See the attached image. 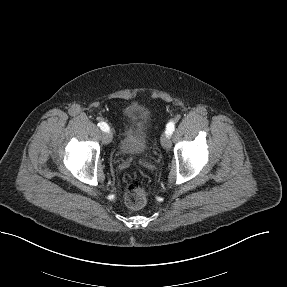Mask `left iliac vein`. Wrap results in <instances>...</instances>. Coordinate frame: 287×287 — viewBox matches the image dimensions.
I'll return each mask as SVG.
<instances>
[{
    "label": "left iliac vein",
    "instance_id": "left-iliac-vein-1",
    "mask_svg": "<svg viewBox=\"0 0 287 287\" xmlns=\"http://www.w3.org/2000/svg\"><path fill=\"white\" fill-rule=\"evenodd\" d=\"M161 145L164 149H169L171 147V140L169 135L165 132L161 136Z\"/></svg>",
    "mask_w": 287,
    "mask_h": 287
}]
</instances>
